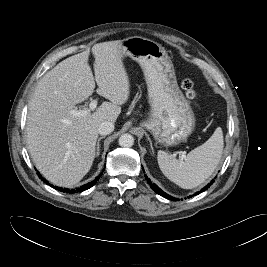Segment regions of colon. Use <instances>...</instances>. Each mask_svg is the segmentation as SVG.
<instances>
[{
	"label": "colon",
	"instance_id": "1",
	"mask_svg": "<svg viewBox=\"0 0 267 267\" xmlns=\"http://www.w3.org/2000/svg\"><path fill=\"white\" fill-rule=\"evenodd\" d=\"M182 88L188 99H194L196 96V92L194 89V83L190 79H185L182 82Z\"/></svg>",
	"mask_w": 267,
	"mask_h": 267
}]
</instances>
